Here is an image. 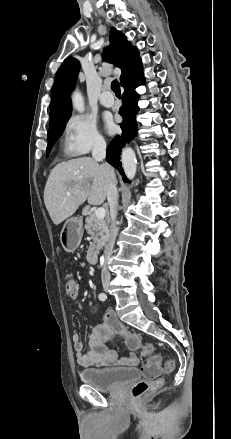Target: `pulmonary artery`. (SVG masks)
<instances>
[{"label":"pulmonary artery","instance_id":"pulmonary-artery-1","mask_svg":"<svg viewBox=\"0 0 231 439\" xmlns=\"http://www.w3.org/2000/svg\"><path fill=\"white\" fill-rule=\"evenodd\" d=\"M100 103L104 107H112L114 105V98L111 95V93L107 90V88H105V90L100 96Z\"/></svg>","mask_w":231,"mask_h":439}]
</instances>
